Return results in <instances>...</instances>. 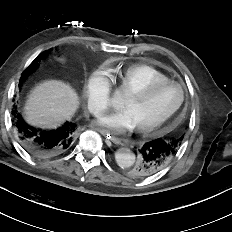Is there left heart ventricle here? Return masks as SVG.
<instances>
[{
	"instance_id": "left-heart-ventricle-1",
	"label": "left heart ventricle",
	"mask_w": 232,
	"mask_h": 232,
	"mask_svg": "<svg viewBox=\"0 0 232 232\" xmlns=\"http://www.w3.org/2000/svg\"><path fill=\"white\" fill-rule=\"evenodd\" d=\"M180 89L176 86H166L158 89L144 100L126 97L122 109L129 111L136 127L150 125L163 118L179 102Z\"/></svg>"
}]
</instances>
